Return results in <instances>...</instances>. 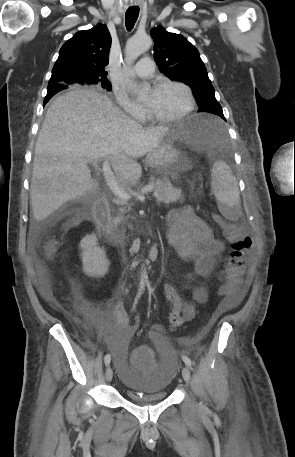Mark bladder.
Wrapping results in <instances>:
<instances>
[{
    "label": "bladder",
    "instance_id": "31cf9c89",
    "mask_svg": "<svg viewBox=\"0 0 295 457\" xmlns=\"http://www.w3.org/2000/svg\"><path fill=\"white\" fill-rule=\"evenodd\" d=\"M108 351L107 360H111L112 365L116 366L117 373L122 374V382L125 386L127 398L138 404L162 401L167 398V388L172 379L171 369L177 368L178 355L172 345L166 342H157L156 350L160 356V364L157 374H132L130 371V354L127 351L130 341L129 338H107ZM162 365V366H161Z\"/></svg>",
    "mask_w": 295,
    "mask_h": 457
}]
</instances>
